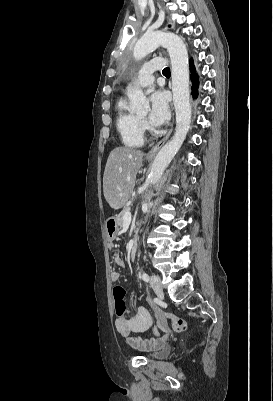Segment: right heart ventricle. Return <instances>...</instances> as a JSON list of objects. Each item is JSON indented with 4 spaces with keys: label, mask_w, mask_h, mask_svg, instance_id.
I'll use <instances>...</instances> for the list:
<instances>
[{
    "label": "right heart ventricle",
    "mask_w": 273,
    "mask_h": 401,
    "mask_svg": "<svg viewBox=\"0 0 273 401\" xmlns=\"http://www.w3.org/2000/svg\"><path fill=\"white\" fill-rule=\"evenodd\" d=\"M127 99L120 97L115 103L116 128L123 144L127 147H141L144 142L142 124L138 116L127 108Z\"/></svg>",
    "instance_id": "e07e8e85"
}]
</instances>
